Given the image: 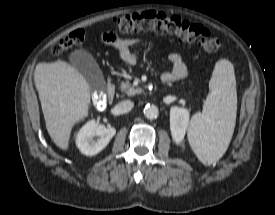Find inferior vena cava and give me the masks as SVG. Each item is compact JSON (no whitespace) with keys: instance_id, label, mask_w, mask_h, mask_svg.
I'll return each mask as SVG.
<instances>
[{"instance_id":"602c4592","label":"inferior vena cava","mask_w":275,"mask_h":215,"mask_svg":"<svg viewBox=\"0 0 275 215\" xmlns=\"http://www.w3.org/2000/svg\"><path fill=\"white\" fill-rule=\"evenodd\" d=\"M134 107V103L131 100H124L119 102L115 108L119 113H128Z\"/></svg>"}]
</instances>
